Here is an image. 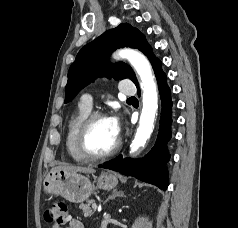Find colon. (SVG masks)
<instances>
[{"instance_id":"colon-1","label":"colon","mask_w":238,"mask_h":228,"mask_svg":"<svg viewBox=\"0 0 238 228\" xmlns=\"http://www.w3.org/2000/svg\"><path fill=\"white\" fill-rule=\"evenodd\" d=\"M44 218L50 224L64 225L69 219L67 204L64 202L52 203L45 210Z\"/></svg>"}]
</instances>
